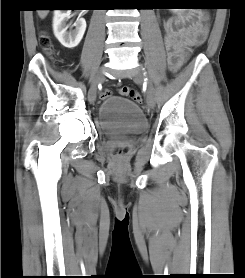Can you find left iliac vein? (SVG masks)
Listing matches in <instances>:
<instances>
[{"label":"left iliac vein","instance_id":"4c4485c4","mask_svg":"<svg viewBox=\"0 0 245 278\" xmlns=\"http://www.w3.org/2000/svg\"><path fill=\"white\" fill-rule=\"evenodd\" d=\"M132 77L134 79L135 82H143L146 79V74L144 72V70L140 69V68H136L134 69V71L132 72ZM147 104L149 105V107H154L155 105V92L154 89L152 87V85L150 83H148V90H147Z\"/></svg>","mask_w":245,"mask_h":278}]
</instances>
